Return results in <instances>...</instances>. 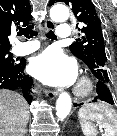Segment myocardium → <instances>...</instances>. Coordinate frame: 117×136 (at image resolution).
Listing matches in <instances>:
<instances>
[{"label":"myocardium","instance_id":"1","mask_svg":"<svg viewBox=\"0 0 117 136\" xmlns=\"http://www.w3.org/2000/svg\"><path fill=\"white\" fill-rule=\"evenodd\" d=\"M93 88L92 80L89 77L83 76L79 79L74 89V93L78 97H86L91 94Z\"/></svg>","mask_w":117,"mask_h":136}]
</instances>
